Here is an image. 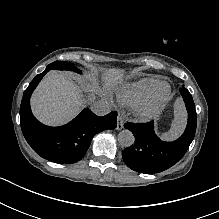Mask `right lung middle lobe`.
<instances>
[{
    "instance_id": "obj_1",
    "label": "right lung middle lobe",
    "mask_w": 219,
    "mask_h": 219,
    "mask_svg": "<svg viewBox=\"0 0 219 219\" xmlns=\"http://www.w3.org/2000/svg\"><path fill=\"white\" fill-rule=\"evenodd\" d=\"M46 69L48 70H51V69L71 70L77 73H81V71L77 69V67H75L72 63L65 62V61H55L51 63L50 65H48Z\"/></svg>"
}]
</instances>
